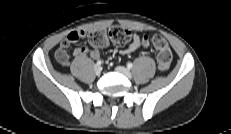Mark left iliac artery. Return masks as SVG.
I'll return each mask as SVG.
<instances>
[{"mask_svg": "<svg viewBox=\"0 0 231 134\" xmlns=\"http://www.w3.org/2000/svg\"><path fill=\"white\" fill-rule=\"evenodd\" d=\"M127 67L130 69V68L133 67V64H132L131 62H129V63L127 64Z\"/></svg>", "mask_w": 231, "mask_h": 134, "instance_id": "44dca946", "label": "left iliac artery"}]
</instances>
